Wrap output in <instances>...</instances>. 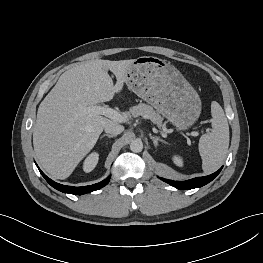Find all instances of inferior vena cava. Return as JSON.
I'll return each mask as SVG.
<instances>
[{
    "label": "inferior vena cava",
    "mask_w": 263,
    "mask_h": 263,
    "mask_svg": "<svg viewBox=\"0 0 263 263\" xmlns=\"http://www.w3.org/2000/svg\"><path fill=\"white\" fill-rule=\"evenodd\" d=\"M104 130L106 133L116 136L123 132L124 127L117 123H109L104 127Z\"/></svg>",
    "instance_id": "obj_1"
}]
</instances>
